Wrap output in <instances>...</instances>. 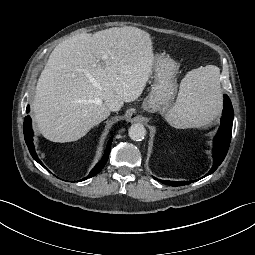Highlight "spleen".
I'll list each match as a JSON object with an SVG mask.
<instances>
[{
    "label": "spleen",
    "mask_w": 255,
    "mask_h": 255,
    "mask_svg": "<svg viewBox=\"0 0 255 255\" xmlns=\"http://www.w3.org/2000/svg\"><path fill=\"white\" fill-rule=\"evenodd\" d=\"M221 98L220 69L214 65L193 69L182 79L165 119L178 129L202 127L218 114Z\"/></svg>",
    "instance_id": "spleen-1"
}]
</instances>
